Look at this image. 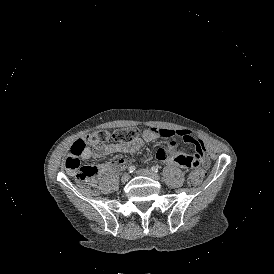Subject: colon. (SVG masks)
<instances>
[{
  "label": "colon",
  "mask_w": 274,
  "mask_h": 274,
  "mask_svg": "<svg viewBox=\"0 0 274 274\" xmlns=\"http://www.w3.org/2000/svg\"><path fill=\"white\" fill-rule=\"evenodd\" d=\"M138 131L135 128L119 129L115 132V138L119 142L129 143L137 138ZM94 141L103 143L107 139V134L100 131L91 136ZM83 143L82 141L80 142ZM85 143L82 146H71L70 154L64 160V168L72 173L79 181L90 179L100 173L101 167L98 165L82 164L80 156L84 150ZM207 174L203 169L190 170L188 182L191 187L199 186L205 181Z\"/></svg>",
  "instance_id": "5ec220e1"
}]
</instances>
